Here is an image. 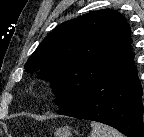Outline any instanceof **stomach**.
<instances>
[{"instance_id": "1", "label": "stomach", "mask_w": 144, "mask_h": 137, "mask_svg": "<svg viewBox=\"0 0 144 137\" xmlns=\"http://www.w3.org/2000/svg\"><path fill=\"white\" fill-rule=\"evenodd\" d=\"M55 137H72V133L66 127H61L55 131Z\"/></svg>"}]
</instances>
